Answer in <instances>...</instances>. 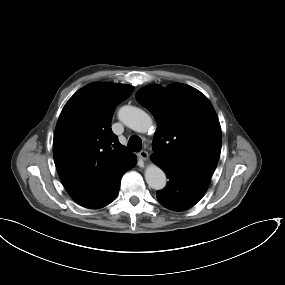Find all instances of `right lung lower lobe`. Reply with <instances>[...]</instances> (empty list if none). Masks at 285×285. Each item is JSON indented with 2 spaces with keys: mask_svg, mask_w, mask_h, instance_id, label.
<instances>
[{
  "mask_svg": "<svg viewBox=\"0 0 285 285\" xmlns=\"http://www.w3.org/2000/svg\"><path fill=\"white\" fill-rule=\"evenodd\" d=\"M136 159H134V161L132 162V165H134ZM120 181L121 179L117 182V184L110 190V192L107 194V196L101 200L99 203L91 206V207H88L89 209H99V208H102V207H105L107 206L108 204H110L112 201H114L118 195V192H119V186H120Z\"/></svg>",
  "mask_w": 285,
  "mask_h": 285,
  "instance_id": "1",
  "label": "right lung lower lobe"
}]
</instances>
